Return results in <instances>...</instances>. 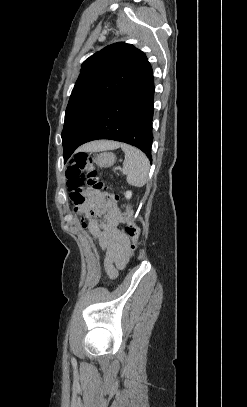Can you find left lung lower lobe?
<instances>
[{"label": "left lung lower lobe", "mask_w": 247, "mask_h": 407, "mask_svg": "<svg viewBox=\"0 0 247 407\" xmlns=\"http://www.w3.org/2000/svg\"><path fill=\"white\" fill-rule=\"evenodd\" d=\"M153 104L154 79L149 64L111 101L80 145L98 139L125 142L142 150L151 161Z\"/></svg>", "instance_id": "obj_1"}]
</instances>
